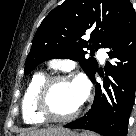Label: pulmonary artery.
Masks as SVG:
<instances>
[{
	"instance_id": "e3ab8cb5",
	"label": "pulmonary artery",
	"mask_w": 136,
	"mask_h": 136,
	"mask_svg": "<svg viewBox=\"0 0 136 136\" xmlns=\"http://www.w3.org/2000/svg\"><path fill=\"white\" fill-rule=\"evenodd\" d=\"M97 55L101 62H103L106 58V52L104 49H99Z\"/></svg>"
}]
</instances>
